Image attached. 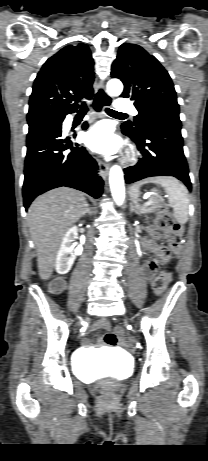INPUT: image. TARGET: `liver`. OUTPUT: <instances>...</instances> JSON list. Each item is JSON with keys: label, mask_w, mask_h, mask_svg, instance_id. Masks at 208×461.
I'll return each mask as SVG.
<instances>
[{"label": "liver", "mask_w": 208, "mask_h": 461, "mask_svg": "<svg viewBox=\"0 0 208 461\" xmlns=\"http://www.w3.org/2000/svg\"><path fill=\"white\" fill-rule=\"evenodd\" d=\"M86 209L84 195L66 187L46 192L31 204L27 218L41 279L51 277L64 234L85 215Z\"/></svg>", "instance_id": "liver-1"}]
</instances>
